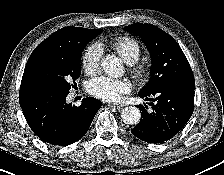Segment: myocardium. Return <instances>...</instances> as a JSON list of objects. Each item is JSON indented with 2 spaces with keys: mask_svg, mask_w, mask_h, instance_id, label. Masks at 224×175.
<instances>
[{
  "mask_svg": "<svg viewBox=\"0 0 224 175\" xmlns=\"http://www.w3.org/2000/svg\"><path fill=\"white\" fill-rule=\"evenodd\" d=\"M132 75L138 81H146L150 74V67L147 63H140L132 69Z\"/></svg>",
  "mask_w": 224,
  "mask_h": 175,
  "instance_id": "myocardium-1",
  "label": "myocardium"
}]
</instances>
